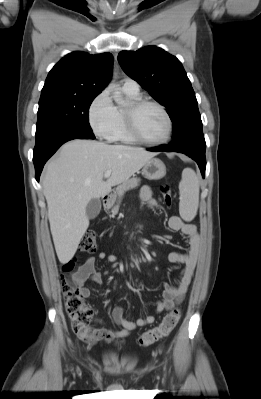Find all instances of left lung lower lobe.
<instances>
[{
  "label": "left lung lower lobe",
  "instance_id": "0a47b994",
  "mask_svg": "<svg viewBox=\"0 0 261 399\" xmlns=\"http://www.w3.org/2000/svg\"><path fill=\"white\" fill-rule=\"evenodd\" d=\"M149 151L158 152V151H166V152H179L183 153L198 164L200 171L202 173L203 178L205 177V169H206V159H205V150L206 143H187L184 145H162L155 148L148 149Z\"/></svg>",
  "mask_w": 261,
  "mask_h": 399
}]
</instances>
